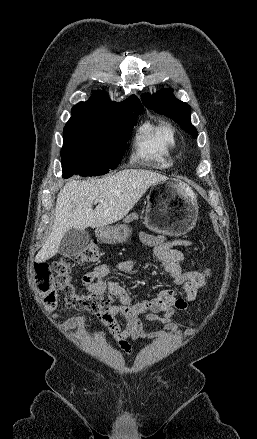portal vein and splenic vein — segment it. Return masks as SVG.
I'll return each mask as SVG.
<instances>
[{
    "label": "portal vein and splenic vein",
    "instance_id": "1",
    "mask_svg": "<svg viewBox=\"0 0 257 439\" xmlns=\"http://www.w3.org/2000/svg\"><path fill=\"white\" fill-rule=\"evenodd\" d=\"M100 200L99 199H96V201L95 202H99Z\"/></svg>",
    "mask_w": 257,
    "mask_h": 439
}]
</instances>
